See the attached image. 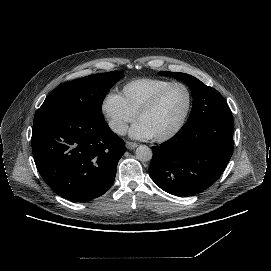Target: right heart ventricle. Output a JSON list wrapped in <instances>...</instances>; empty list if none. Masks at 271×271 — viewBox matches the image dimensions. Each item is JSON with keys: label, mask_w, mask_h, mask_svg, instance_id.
<instances>
[{"label": "right heart ventricle", "mask_w": 271, "mask_h": 271, "mask_svg": "<svg viewBox=\"0 0 271 271\" xmlns=\"http://www.w3.org/2000/svg\"><path fill=\"white\" fill-rule=\"evenodd\" d=\"M172 80L158 77L138 78L121 86L120 96L126 108L137 116L141 109Z\"/></svg>", "instance_id": "e07e8e85"}]
</instances>
